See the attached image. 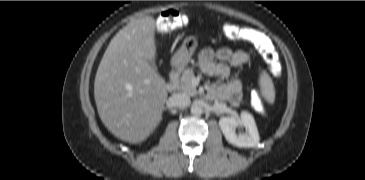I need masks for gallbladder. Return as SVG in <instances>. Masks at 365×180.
<instances>
[{
    "instance_id": "gallbladder-1",
    "label": "gallbladder",
    "mask_w": 365,
    "mask_h": 180,
    "mask_svg": "<svg viewBox=\"0 0 365 180\" xmlns=\"http://www.w3.org/2000/svg\"><path fill=\"white\" fill-rule=\"evenodd\" d=\"M149 63H150V65L152 66V68H153L155 71H157V67H156V65H155L152 61H150Z\"/></svg>"
}]
</instances>
